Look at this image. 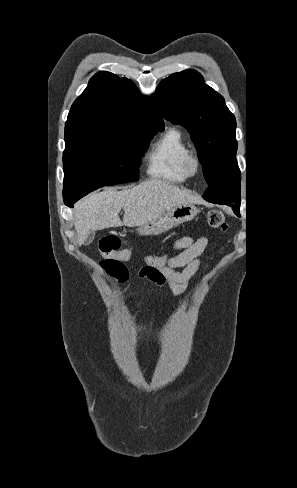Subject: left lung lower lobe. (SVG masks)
<instances>
[{
  "mask_svg": "<svg viewBox=\"0 0 297 488\" xmlns=\"http://www.w3.org/2000/svg\"><path fill=\"white\" fill-rule=\"evenodd\" d=\"M235 214L239 216V212H238V211H236V213H235Z\"/></svg>",
  "mask_w": 297,
  "mask_h": 488,
  "instance_id": "obj_1",
  "label": "left lung lower lobe"
}]
</instances>
